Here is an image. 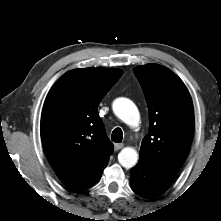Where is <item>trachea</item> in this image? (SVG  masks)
I'll use <instances>...</instances> for the list:
<instances>
[{
	"label": "trachea",
	"instance_id": "1",
	"mask_svg": "<svg viewBox=\"0 0 221 221\" xmlns=\"http://www.w3.org/2000/svg\"><path fill=\"white\" fill-rule=\"evenodd\" d=\"M122 139H123V132L120 128H115L112 132V135H111V140L113 142H122Z\"/></svg>",
	"mask_w": 221,
	"mask_h": 221
}]
</instances>
